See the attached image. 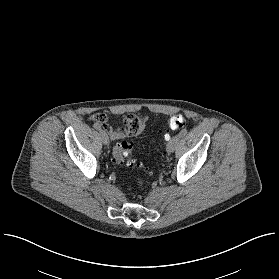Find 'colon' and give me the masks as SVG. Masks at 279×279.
<instances>
[{
  "label": "colon",
  "mask_w": 279,
  "mask_h": 279,
  "mask_svg": "<svg viewBox=\"0 0 279 279\" xmlns=\"http://www.w3.org/2000/svg\"><path fill=\"white\" fill-rule=\"evenodd\" d=\"M101 118L103 116L101 115ZM186 125V119L182 115H175L167 120V131H176L183 128ZM132 150L133 145L128 143L127 141L121 140L119 141L113 148L112 153V162L117 165L121 166L125 163L126 158H129V164L131 166H141V164L137 163L136 160L132 157ZM149 174L153 172L147 168H144Z\"/></svg>",
  "instance_id": "obj_1"
}]
</instances>
